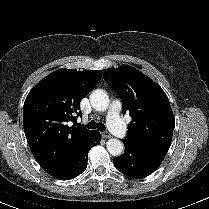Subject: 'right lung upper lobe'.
I'll return each mask as SVG.
<instances>
[{"label": "right lung upper lobe", "mask_w": 209, "mask_h": 209, "mask_svg": "<svg viewBox=\"0 0 209 209\" xmlns=\"http://www.w3.org/2000/svg\"><path fill=\"white\" fill-rule=\"evenodd\" d=\"M102 71L59 69L42 79L27 95L23 107L24 132L31 151L50 175L60 170L93 133L69 127L76 121L80 101L98 84Z\"/></svg>", "instance_id": "right-lung-upper-lobe-1"}]
</instances>
